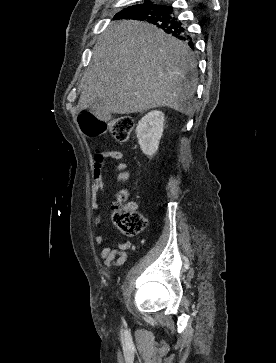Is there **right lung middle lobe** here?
Wrapping results in <instances>:
<instances>
[{"instance_id":"dd1d6c3e","label":"right lung middle lobe","mask_w":276,"mask_h":363,"mask_svg":"<svg viewBox=\"0 0 276 363\" xmlns=\"http://www.w3.org/2000/svg\"><path fill=\"white\" fill-rule=\"evenodd\" d=\"M159 5L157 3L151 2V1H145L143 4L134 5L128 8L123 9L121 12L117 13L114 16V19H122L124 17H133L137 14L146 12L150 8Z\"/></svg>"}]
</instances>
